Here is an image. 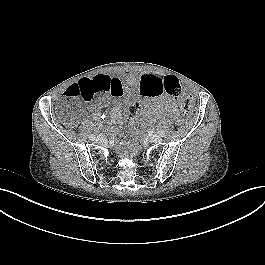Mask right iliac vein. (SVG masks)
<instances>
[{
  "instance_id": "63e3f726",
  "label": "right iliac vein",
  "mask_w": 265,
  "mask_h": 265,
  "mask_svg": "<svg viewBox=\"0 0 265 265\" xmlns=\"http://www.w3.org/2000/svg\"><path fill=\"white\" fill-rule=\"evenodd\" d=\"M102 140H103L102 136H97V137H96V141H97V142H101Z\"/></svg>"
}]
</instances>
